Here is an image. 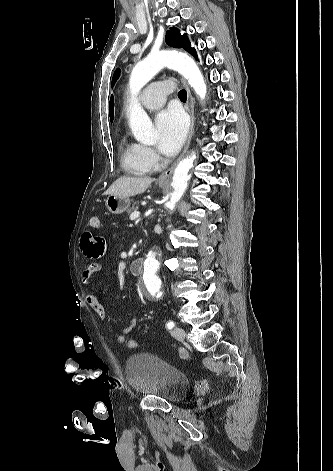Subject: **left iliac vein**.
<instances>
[{
  "instance_id": "left-iliac-vein-1",
  "label": "left iliac vein",
  "mask_w": 333,
  "mask_h": 471,
  "mask_svg": "<svg viewBox=\"0 0 333 471\" xmlns=\"http://www.w3.org/2000/svg\"><path fill=\"white\" fill-rule=\"evenodd\" d=\"M171 334L172 336L177 339V340H183L186 336V332L183 328H180V327H175L172 331H171Z\"/></svg>"
}]
</instances>
